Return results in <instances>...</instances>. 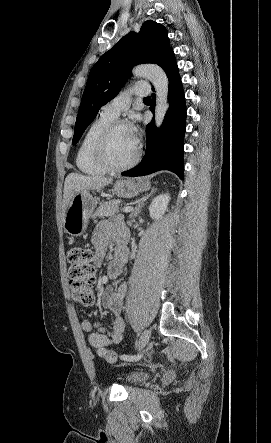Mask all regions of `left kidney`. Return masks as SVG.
Listing matches in <instances>:
<instances>
[{
  "instance_id": "left-kidney-1",
  "label": "left kidney",
  "mask_w": 271,
  "mask_h": 443,
  "mask_svg": "<svg viewBox=\"0 0 271 443\" xmlns=\"http://www.w3.org/2000/svg\"><path fill=\"white\" fill-rule=\"evenodd\" d=\"M169 200V194H161V196L154 198L149 206L150 218L152 220H161L163 218L168 208Z\"/></svg>"
}]
</instances>
